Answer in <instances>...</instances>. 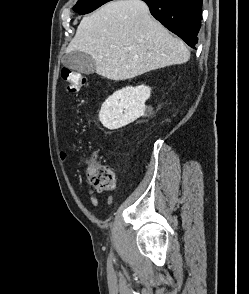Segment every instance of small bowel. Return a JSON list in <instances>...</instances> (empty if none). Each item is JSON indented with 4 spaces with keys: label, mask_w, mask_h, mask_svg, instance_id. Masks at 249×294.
Returning <instances> with one entry per match:
<instances>
[{
    "label": "small bowel",
    "mask_w": 249,
    "mask_h": 294,
    "mask_svg": "<svg viewBox=\"0 0 249 294\" xmlns=\"http://www.w3.org/2000/svg\"><path fill=\"white\" fill-rule=\"evenodd\" d=\"M59 155H60V159H61L62 161H65V160H66V158H67V154H66L65 151H63V150L60 151ZM88 196H89V200H90L91 204H92L94 207H99V205H100L99 200H98V198L95 196L93 190H91V189L88 190ZM109 201H111V197L109 198Z\"/></svg>",
    "instance_id": "1"
}]
</instances>
